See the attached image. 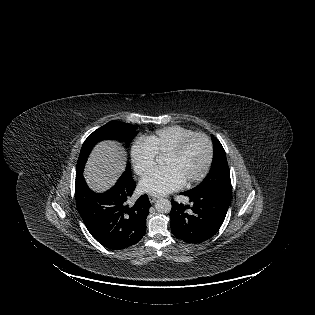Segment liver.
I'll return each mask as SVG.
<instances>
[{
    "label": "liver",
    "mask_w": 315,
    "mask_h": 315,
    "mask_svg": "<svg viewBox=\"0 0 315 315\" xmlns=\"http://www.w3.org/2000/svg\"><path fill=\"white\" fill-rule=\"evenodd\" d=\"M124 149L115 142L97 145L90 156L84 175L89 186L104 191L114 185L125 169Z\"/></svg>",
    "instance_id": "obj_1"
}]
</instances>
